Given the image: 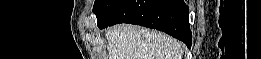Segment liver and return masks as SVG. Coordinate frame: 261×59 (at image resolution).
Segmentation results:
<instances>
[{"instance_id": "liver-1", "label": "liver", "mask_w": 261, "mask_h": 59, "mask_svg": "<svg viewBox=\"0 0 261 59\" xmlns=\"http://www.w3.org/2000/svg\"><path fill=\"white\" fill-rule=\"evenodd\" d=\"M110 59H182L181 42L167 34L134 25H115L105 32Z\"/></svg>"}]
</instances>
